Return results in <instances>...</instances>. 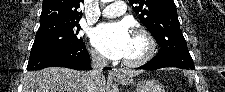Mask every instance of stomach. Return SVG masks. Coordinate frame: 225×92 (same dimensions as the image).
<instances>
[{
  "label": "stomach",
  "instance_id": "0dacf381",
  "mask_svg": "<svg viewBox=\"0 0 225 92\" xmlns=\"http://www.w3.org/2000/svg\"><path fill=\"white\" fill-rule=\"evenodd\" d=\"M117 80L124 85L136 86L137 92H165L164 87L155 80H145L136 83L131 77L127 76L125 73L118 76Z\"/></svg>",
  "mask_w": 225,
  "mask_h": 92
}]
</instances>
